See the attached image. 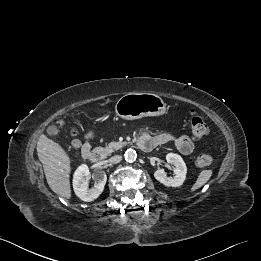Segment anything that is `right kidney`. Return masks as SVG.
Wrapping results in <instances>:
<instances>
[{
  "instance_id": "right-kidney-1",
  "label": "right kidney",
  "mask_w": 261,
  "mask_h": 261,
  "mask_svg": "<svg viewBox=\"0 0 261 261\" xmlns=\"http://www.w3.org/2000/svg\"><path fill=\"white\" fill-rule=\"evenodd\" d=\"M96 182L94 187L89 189L90 172L86 164L80 165L73 176V188L75 194L85 202L97 199L104 190L107 181L105 172L100 171L95 175Z\"/></svg>"
}]
</instances>
